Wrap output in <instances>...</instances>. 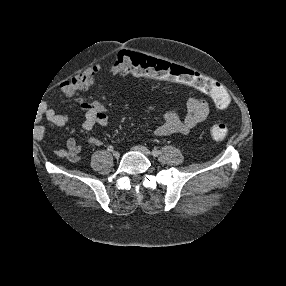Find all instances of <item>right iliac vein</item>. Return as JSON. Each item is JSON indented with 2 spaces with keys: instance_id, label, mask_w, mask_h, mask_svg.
<instances>
[{
  "instance_id": "1",
  "label": "right iliac vein",
  "mask_w": 286,
  "mask_h": 286,
  "mask_svg": "<svg viewBox=\"0 0 286 286\" xmlns=\"http://www.w3.org/2000/svg\"><path fill=\"white\" fill-rule=\"evenodd\" d=\"M113 156H114V158H119L120 153L118 151H114Z\"/></svg>"
}]
</instances>
